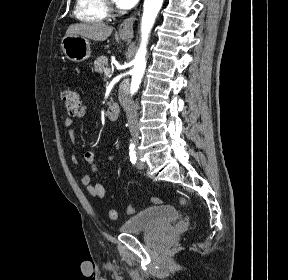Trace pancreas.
<instances>
[{"mask_svg": "<svg viewBox=\"0 0 288 280\" xmlns=\"http://www.w3.org/2000/svg\"><path fill=\"white\" fill-rule=\"evenodd\" d=\"M108 65V58L106 56H100L94 62V68L97 73H103Z\"/></svg>", "mask_w": 288, "mask_h": 280, "instance_id": "cf45deb5", "label": "pancreas"}]
</instances>
